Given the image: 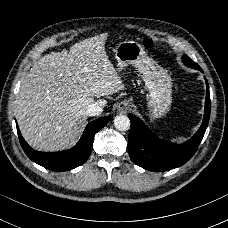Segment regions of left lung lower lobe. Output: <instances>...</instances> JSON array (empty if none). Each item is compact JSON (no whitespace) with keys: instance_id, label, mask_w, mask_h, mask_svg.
I'll return each instance as SVG.
<instances>
[{"instance_id":"obj_1","label":"left lung lower lobe","mask_w":228,"mask_h":228,"mask_svg":"<svg viewBox=\"0 0 228 228\" xmlns=\"http://www.w3.org/2000/svg\"><path fill=\"white\" fill-rule=\"evenodd\" d=\"M200 71L203 72L202 69ZM205 81L207 93L202 125L191 139L182 144L159 139L142 120L131 114L128 115L131 121L128 152L131 160L136 165L149 171L163 172L182 166L195 154L210 118L209 85L207 79Z\"/></svg>"}]
</instances>
